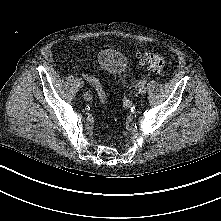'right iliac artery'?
Segmentation results:
<instances>
[{"label": "right iliac artery", "instance_id": "right-iliac-artery-1", "mask_svg": "<svg viewBox=\"0 0 221 221\" xmlns=\"http://www.w3.org/2000/svg\"><path fill=\"white\" fill-rule=\"evenodd\" d=\"M84 99L85 100H87V101H89V100H91L92 99V95L90 94V92H85V94H84Z\"/></svg>", "mask_w": 221, "mask_h": 221}]
</instances>
